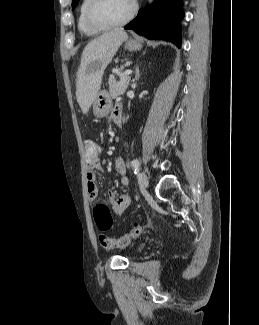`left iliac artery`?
<instances>
[{
  "label": "left iliac artery",
  "mask_w": 259,
  "mask_h": 325,
  "mask_svg": "<svg viewBox=\"0 0 259 325\" xmlns=\"http://www.w3.org/2000/svg\"><path fill=\"white\" fill-rule=\"evenodd\" d=\"M134 164H140L139 160L138 159H133L132 162H131V167L133 169V165Z\"/></svg>",
  "instance_id": "obj_1"
}]
</instances>
